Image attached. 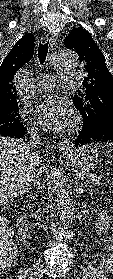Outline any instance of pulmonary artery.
<instances>
[{"label": "pulmonary artery", "mask_w": 113, "mask_h": 279, "mask_svg": "<svg viewBox=\"0 0 113 279\" xmlns=\"http://www.w3.org/2000/svg\"><path fill=\"white\" fill-rule=\"evenodd\" d=\"M73 73H66L60 75L58 79L64 83L72 85L76 82V77H73ZM55 86V78H41L34 83V88L39 92H44L52 89Z\"/></svg>", "instance_id": "e3ab8cb5"}]
</instances>
